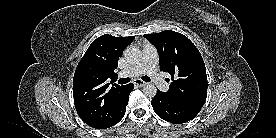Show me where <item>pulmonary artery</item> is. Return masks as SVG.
<instances>
[{"label": "pulmonary artery", "mask_w": 276, "mask_h": 138, "mask_svg": "<svg viewBox=\"0 0 276 138\" xmlns=\"http://www.w3.org/2000/svg\"><path fill=\"white\" fill-rule=\"evenodd\" d=\"M158 53L156 48L151 44H144L141 60L119 74L120 77H136L142 74H147L155 85L162 91L169 89V84L159 75L157 71Z\"/></svg>", "instance_id": "1"}]
</instances>
